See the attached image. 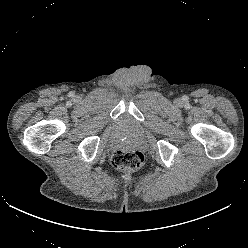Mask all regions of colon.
Masks as SVG:
<instances>
[{
    "instance_id": "colon-1",
    "label": "colon",
    "mask_w": 248,
    "mask_h": 248,
    "mask_svg": "<svg viewBox=\"0 0 248 248\" xmlns=\"http://www.w3.org/2000/svg\"><path fill=\"white\" fill-rule=\"evenodd\" d=\"M115 168L123 171H133L142 167L143 154L134 148H119L112 155Z\"/></svg>"
}]
</instances>
